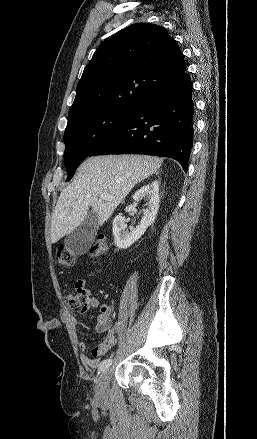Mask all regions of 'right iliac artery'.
<instances>
[{"mask_svg":"<svg viewBox=\"0 0 257 439\" xmlns=\"http://www.w3.org/2000/svg\"><path fill=\"white\" fill-rule=\"evenodd\" d=\"M112 364V359L108 358L103 360L99 365V373L107 369Z\"/></svg>","mask_w":257,"mask_h":439,"instance_id":"obj_1","label":"right iliac artery"}]
</instances>
